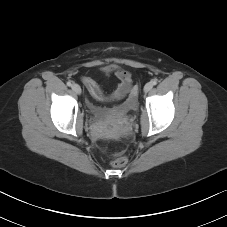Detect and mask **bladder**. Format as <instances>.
Segmentation results:
<instances>
[{"instance_id": "bladder-1", "label": "bladder", "mask_w": 227, "mask_h": 227, "mask_svg": "<svg viewBox=\"0 0 227 227\" xmlns=\"http://www.w3.org/2000/svg\"><path fill=\"white\" fill-rule=\"evenodd\" d=\"M89 111L92 116L98 120H104L111 115V112L108 109L93 105L89 106Z\"/></svg>"}]
</instances>
